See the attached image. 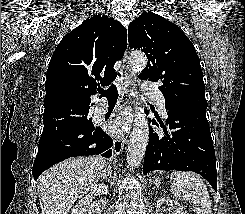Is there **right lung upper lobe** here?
<instances>
[{
    "label": "right lung upper lobe",
    "mask_w": 245,
    "mask_h": 214,
    "mask_svg": "<svg viewBox=\"0 0 245 214\" xmlns=\"http://www.w3.org/2000/svg\"><path fill=\"white\" fill-rule=\"evenodd\" d=\"M126 36L118 21L98 14L63 37L47 70L44 124L90 107L97 86H108L116 78L113 65L123 57Z\"/></svg>",
    "instance_id": "right-lung-upper-lobe-1"
}]
</instances>
